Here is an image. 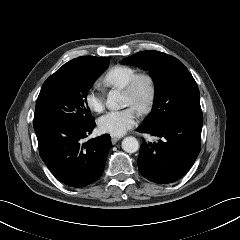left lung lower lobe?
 <instances>
[{"instance_id": "obj_1", "label": "left lung lower lobe", "mask_w": 240, "mask_h": 240, "mask_svg": "<svg viewBox=\"0 0 240 240\" xmlns=\"http://www.w3.org/2000/svg\"><path fill=\"white\" fill-rule=\"evenodd\" d=\"M203 122L177 119L160 126L141 125L137 131L160 138L158 143H144L140 148L138 168L149 181L173 183L194 164L201 147Z\"/></svg>"}]
</instances>
